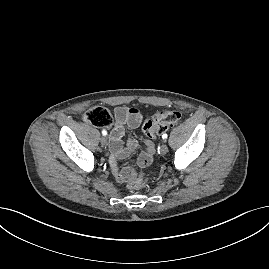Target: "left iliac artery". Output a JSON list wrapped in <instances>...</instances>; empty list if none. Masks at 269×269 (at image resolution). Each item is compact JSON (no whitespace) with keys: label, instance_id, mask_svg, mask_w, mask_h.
I'll return each instance as SVG.
<instances>
[{"label":"left iliac artery","instance_id":"44dca946","mask_svg":"<svg viewBox=\"0 0 269 269\" xmlns=\"http://www.w3.org/2000/svg\"><path fill=\"white\" fill-rule=\"evenodd\" d=\"M167 137H168V135H167L166 133H164V134L162 135V138H163V139H167Z\"/></svg>","mask_w":269,"mask_h":269}]
</instances>
